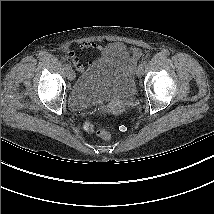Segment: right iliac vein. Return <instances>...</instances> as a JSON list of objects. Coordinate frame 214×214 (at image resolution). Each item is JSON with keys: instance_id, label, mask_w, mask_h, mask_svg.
I'll use <instances>...</instances> for the list:
<instances>
[{"instance_id": "1", "label": "right iliac vein", "mask_w": 214, "mask_h": 214, "mask_svg": "<svg viewBox=\"0 0 214 214\" xmlns=\"http://www.w3.org/2000/svg\"><path fill=\"white\" fill-rule=\"evenodd\" d=\"M74 78H75V73H74L73 69L71 67H69L68 68V79L72 81V80H74Z\"/></svg>"}]
</instances>
